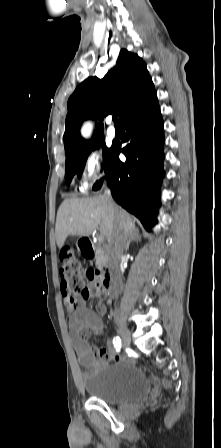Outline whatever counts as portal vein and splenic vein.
I'll list each match as a JSON object with an SVG mask.
<instances>
[{"mask_svg":"<svg viewBox=\"0 0 221 448\" xmlns=\"http://www.w3.org/2000/svg\"><path fill=\"white\" fill-rule=\"evenodd\" d=\"M98 240H99V242H103V240H104V236H103V235H100V236L98 237Z\"/></svg>","mask_w":221,"mask_h":448,"instance_id":"obj_1","label":"portal vein and splenic vein"}]
</instances>
